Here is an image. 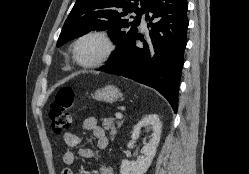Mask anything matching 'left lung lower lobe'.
I'll return each mask as SVG.
<instances>
[{
    "instance_id": "0a47b994",
    "label": "left lung lower lobe",
    "mask_w": 249,
    "mask_h": 174,
    "mask_svg": "<svg viewBox=\"0 0 249 174\" xmlns=\"http://www.w3.org/2000/svg\"><path fill=\"white\" fill-rule=\"evenodd\" d=\"M186 0H150L146 20L150 27L144 40L140 34L124 48L117 62L100 71L124 76L160 92L177 111V96L187 43ZM141 39L143 47L136 46Z\"/></svg>"
}]
</instances>
